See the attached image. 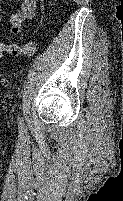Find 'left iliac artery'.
I'll use <instances>...</instances> for the list:
<instances>
[{
    "label": "left iliac artery",
    "instance_id": "obj_1",
    "mask_svg": "<svg viewBox=\"0 0 123 201\" xmlns=\"http://www.w3.org/2000/svg\"><path fill=\"white\" fill-rule=\"evenodd\" d=\"M18 126H19V130L21 133H24L25 132V126H24V123H23V118L18 116Z\"/></svg>",
    "mask_w": 123,
    "mask_h": 201
}]
</instances>
